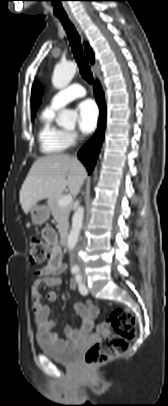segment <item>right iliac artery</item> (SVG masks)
<instances>
[{
    "label": "right iliac artery",
    "instance_id": "1",
    "mask_svg": "<svg viewBox=\"0 0 168 406\" xmlns=\"http://www.w3.org/2000/svg\"><path fill=\"white\" fill-rule=\"evenodd\" d=\"M71 271H72L73 274H76L79 271V268L74 267V268L71 269Z\"/></svg>",
    "mask_w": 168,
    "mask_h": 406
}]
</instances>
